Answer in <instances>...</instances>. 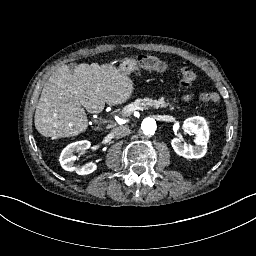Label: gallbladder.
Returning <instances> with one entry per match:
<instances>
[{"mask_svg":"<svg viewBox=\"0 0 256 256\" xmlns=\"http://www.w3.org/2000/svg\"><path fill=\"white\" fill-rule=\"evenodd\" d=\"M68 66H69V69L73 72L75 67L77 66V64L76 63H70Z\"/></svg>","mask_w":256,"mask_h":256,"instance_id":"bac80fb5","label":"gallbladder"}]
</instances>
